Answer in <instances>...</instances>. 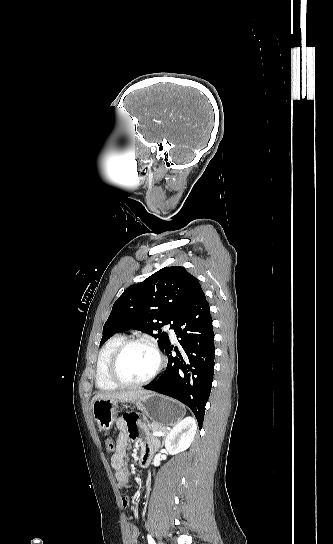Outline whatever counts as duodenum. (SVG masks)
Segmentation results:
<instances>
[{
  "label": "duodenum",
  "instance_id": "duodenum-1",
  "mask_svg": "<svg viewBox=\"0 0 333 544\" xmlns=\"http://www.w3.org/2000/svg\"><path fill=\"white\" fill-rule=\"evenodd\" d=\"M149 463V455L146 453H141L139 464L141 467H146Z\"/></svg>",
  "mask_w": 333,
  "mask_h": 544
}]
</instances>
